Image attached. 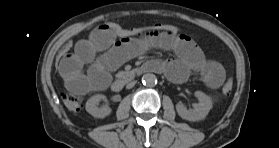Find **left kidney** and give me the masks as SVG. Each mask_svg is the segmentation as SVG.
I'll return each instance as SVG.
<instances>
[{
    "label": "left kidney",
    "mask_w": 279,
    "mask_h": 148,
    "mask_svg": "<svg viewBox=\"0 0 279 148\" xmlns=\"http://www.w3.org/2000/svg\"><path fill=\"white\" fill-rule=\"evenodd\" d=\"M194 94L199 102L193 104V109L188 110L182 104L176 105L179 116L188 121H200L205 119L213 106L211 98L205 93L196 91Z\"/></svg>",
    "instance_id": "1"
}]
</instances>
